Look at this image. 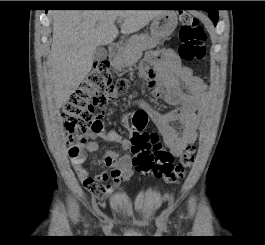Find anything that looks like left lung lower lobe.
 <instances>
[{"label": "left lung lower lobe", "mask_w": 265, "mask_h": 245, "mask_svg": "<svg viewBox=\"0 0 265 245\" xmlns=\"http://www.w3.org/2000/svg\"><path fill=\"white\" fill-rule=\"evenodd\" d=\"M209 18L213 21L214 24L218 21V11L215 9H208L207 10Z\"/></svg>", "instance_id": "0a47b994"}]
</instances>
